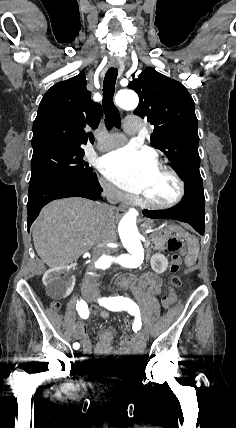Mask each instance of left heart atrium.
<instances>
[{
	"label": "left heart atrium",
	"mask_w": 236,
	"mask_h": 428,
	"mask_svg": "<svg viewBox=\"0 0 236 428\" xmlns=\"http://www.w3.org/2000/svg\"><path fill=\"white\" fill-rule=\"evenodd\" d=\"M156 164L155 159L144 151L124 147L103 159L101 172L120 188L134 194H141Z\"/></svg>",
	"instance_id": "left-heart-atrium-1"
}]
</instances>
